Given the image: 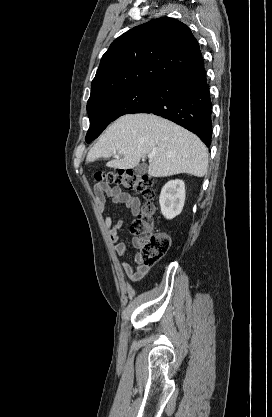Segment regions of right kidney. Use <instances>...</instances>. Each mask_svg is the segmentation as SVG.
I'll use <instances>...</instances> for the list:
<instances>
[{
    "label": "right kidney",
    "mask_w": 272,
    "mask_h": 417,
    "mask_svg": "<svg viewBox=\"0 0 272 417\" xmlns=\"http://www.w3.org/2000/svg\"><path fill=\"white\" fill-rule=\"evenodd\" d=\"M185 195V184L182 180H171L163 186L159 203L161 213L166 219H173L182 212Z\"/></svg>",
    "instance_id": "1"
}]
</instances>
